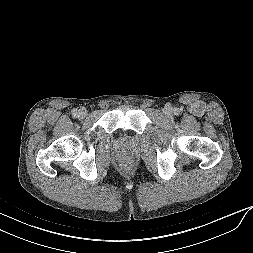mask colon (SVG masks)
<instances>
[{"label":"colon","mask_w":253,"mask_h":253,"mask_svg":"<svg viewBox=\"0 0 253 253\" xmlns=\"http://www.w3.org/2000/svg\"><path fill=\"white\" fill-rule=\"evenodd\" d=\"M129 169H130V166H129V165L126 164V165L123 166V170H124V171L127 172V171H129Z\"/></svg>","instance_id":"obj_1"}]
</instances>
